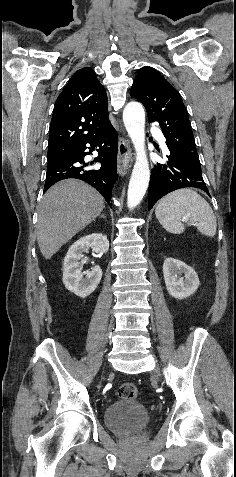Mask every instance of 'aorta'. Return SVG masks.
Instances as JSON below:
<instances>
[{
	"instance_id": "obj_1",
	"label": "aorta",
	"mask_w": 236,
	"mask_h": 477,
	"mask_svg": "<svg viewBox=\"0 0 236 477\" xmlns=\"http://www.w3.org/2000/svg\"><path fill=\"white\" fill-rule=\"evenodd\" d=\"M123 122L136 151V161L127 192L128 208L133 209L142 201L150 180L145 150V111L142 104L129 102L123 110Z\"/></svg>"
}]
</instances>
